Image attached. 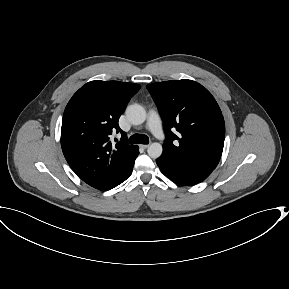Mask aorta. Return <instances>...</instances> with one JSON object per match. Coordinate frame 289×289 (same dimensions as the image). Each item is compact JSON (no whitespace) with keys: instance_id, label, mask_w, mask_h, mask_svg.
I'll list each match as a JSON object with an SVG mask.
<instances>
[{"instance_id":"aorta-1","label":"aorta","mask_w":289,"mask_h":289,"mask_svg":"<svg viewBox=\"0 0 289 289\" xmlns=\"http://www.w3.org/2000/svg\"><path fill=\"white\" fill-rule=\"evenodd\" d=\"M126 116L131 124L140 125L146 120V111L143 106L132 104L126 108ZM147 152L151 158L157 159L162 155L163 147L160 143L154 142L149 145Z\"/></svg>"}]
</instances>
